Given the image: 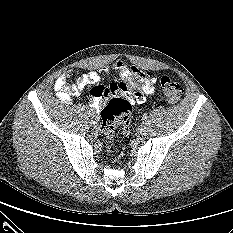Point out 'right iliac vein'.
<instances>
[{
	"mask_svg": "<svg viewBox=\"0 0 233 233\" xmlns=\"http://www.w3.org/2000/svg\"><path fill=\"white\" fill-rule=\"evenodd\" d=\"M99 123V119L97 116L92 117V124L96 127Z\"/></svg>",
	"mask_w": 233,
	"mask_h": 233,
	"instance_id": "right-iliac-vein-1",
	"label": "right iliac vein"
}]
</instances>
